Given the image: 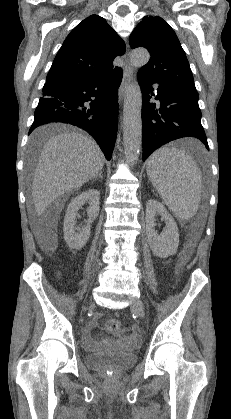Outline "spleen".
<instances>
[{"mask_svg":"<svg viewBox=\"0 0 231 419\" xmlns=\"http://www.w3.org/2000/svg\"><path fill=\"white\" fill-rule=\"evenodd\" d=\"M147 174L164 204L178 218L189 220L196 214L202 175L191 156L176 148H160L150 156Z\"/></svg>","mask_w":231,"mask_h":419,"instance_id":"spleen-1","label":"spleen"}]
</instances>
